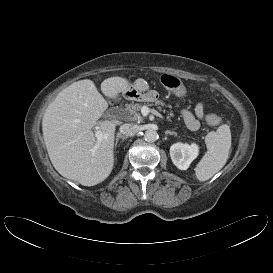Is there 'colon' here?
<instances>
[{
  "instance_id": "1",
  "label": "colon",
  "mask_w": 273,
  "mask_h": 273,
  "mask_svg": "<svg viewBox=\"0 0 273 273\" xmlns=\"http://www.w3.org/2000/svg\"><path fill=\"white\" fill-rule=\"evenodd\" d=\"M161 81L167 89L179 96H183L186 93V88L183 83L174 76L163 75ZM221 121L222 119L215 114H209L206 116V122L211 126H217L221 123Z\"/></svg>"
}]
</instances>
